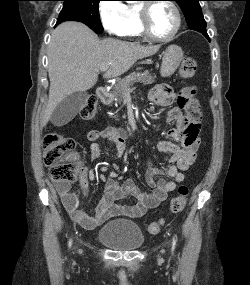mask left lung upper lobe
<instances>
[{
    "label": "left lung upper lobe",
    "mask_w": 250,
    "mask_h": 285,
    "mask_svg": "<svg viewBox=\"0 0 250 285\" xmlns=\"http://www.w3.org/2000/svg\"><path fill=\"white\" fill-rule=\"evenodd\" d=\"M182 9L188 27L202 33L206 32V22L199 4L201 0H175ZM207 33V32H206Z\"/></svg>",
    "instance_id": "left-lung-upper-lobe-1"
}]
</instances>
